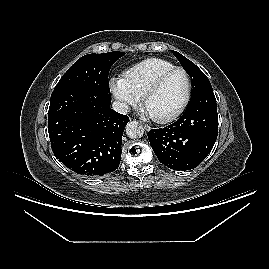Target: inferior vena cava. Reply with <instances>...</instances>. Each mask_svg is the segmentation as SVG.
<instances>
[{
  "instance_id": "obj_1",
  "label": "inferior vena cava",
  "mask_w": 269,
  "mask_h": 269,
  "mask_svg": "<svg viewBox=\"0 0 269 269\" xmlns=\"http://www.w3.org/2000/svg\"><path fill=\"white\" fill-rule=\"evenodd\" d=\"M112 108L120 113V114H127L129 112V107L126 103L120 101H114L112 103Z\"/></svg>"
}]
</instances>
